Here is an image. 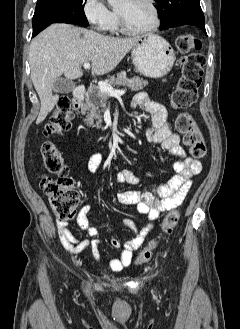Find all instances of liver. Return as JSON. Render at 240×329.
Instances as JSON below:
<instances>
[{
	"instance_id": "1",
	"label": "liver",
	"mask_w": 240,
	"mask_h": 329,
	"mask_svg": "<svg viewBox=\"0 0 240 329\" xmlns=\"http://www.w3.org/2000/svg\"><path fill=\"white\" fill-rule=\"evenodd\" d=\"M140 37L115 38L73 25L57 23L37 35L30 44L31 79L41 101L36 124L53 110L59 97L52 94L54 82L64 75L77 79L81 65L91 61L92 73L112 71Z\"/></svg>"
}]
</instances>
